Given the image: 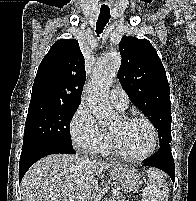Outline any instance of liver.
<instances>
[{
	"label": "liver",
	"mask_w": 196,
	"mask_h": 201,
	"mask_svg": "<svg viewBox=\"0 0 196 201\" xmlns=\"http://www.w3.org/2000/svg\"><path fill=\"white\" fill-rule=\"evenodd\" d=\"M121 164L85 160L78 155L52 154L36 162L20 184L22 201H92L100 174L111 175Z\"/></svg>",
	"instance_id": "1"
}]
</instances>
